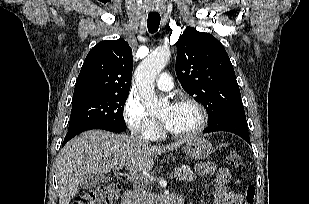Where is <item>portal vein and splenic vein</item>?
I'll return each instance as SVG.
<instances>
[{"label": "portal vein and splenic vein", "instance_id": "18ae733b", "mask_svg": "<svg viewBox=\"0 0 309 204\" xmlns=\"http://www.w3.org/2000/svg\"><path fill=\"white\" fill-rule=\"evenodd\" d=\"M122 167H118V168H116V171H117V174H121L120 172H119V170L121 169ZM126 176H127V178L128 179H130V180H135V181H139V182H144V181H146V179L144 178V177H138L137 175H135L134 173H129V174H126ZM170 176H174V173L173 172H171L170 173Z\"/></svg>", "mask_w": 309, "mask_h": 204}]
</instances>
